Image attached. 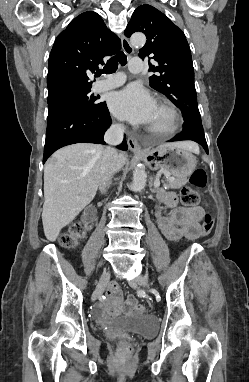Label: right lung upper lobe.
Segmentation results:
<instances>
[{"label": "right lung upper lobe", "mask_w": 249, "mask_h": 382, "mask_svg": "<svg viewBox=\"0 0 249 382\" xmlns=\"http://www.w3.org/2000/svg\"><path fill=\"white\" fill-rule=\"evenodd\" d=\"M121 47L95 12L80 14L56 38L48 63V103L91 89L88 74Z\"/></svg>", "instance_id": "cb5924a9"}]
</instances>
